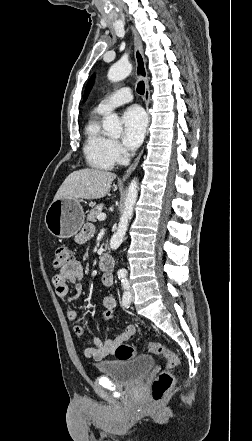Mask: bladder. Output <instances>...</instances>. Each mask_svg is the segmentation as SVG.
Masks as SVG:
<instances>
[{"label": "bladder", "mask_w": 252, "mask_h": 441, "mask_svg": "<svg viewBox=\"0 0 252 441\" xmlns=\"http://www.w3.org/2000/svg\"><path fill=\"white\" fill-rule=\"evenodd\" d=\"M150 355H139L129 359H114L100 362L97 370L117 383L133 384L142 379L153 367Z\"/></svg>", "instance_id": "1"}]
</instances>
